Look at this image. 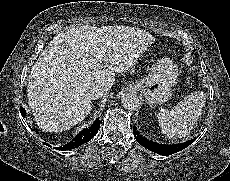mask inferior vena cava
Instances as JSON below:
<instances>
[{"label": "inferior vena cava", "instance_id": "inferior-vena-cava-1", "mask_svg": "<svg viewBox=\"0 0 230 181\" xmlns=\"http://www.w3.org/2000/svg\"><path fill=\"white\" fill-rule=\"evenodd\" d=\"M109 89L104 86L96 85L89 91V95L92 99H99L108 93Z\"/></svg>", "mask_w": 230, "mask_h": 181}]
</instances>
